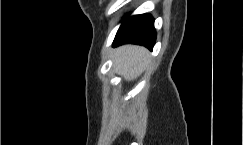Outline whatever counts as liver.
<instances>
[{"instance_id":"6515ba94","label":"liver","mask_w":243,"mask_h":145,"mask_svg":"<svg viewBox=\"0 0 243 145\" xmlns=\"http://www.w3.org/2000/svg\"><path fill=\"white\" fill-rule=\"evenodd\" d=\"M148 52L145 48L135 45L119 47L115 52V66L119 75L125 80L136 79L144 70Z\"/></svg>"}]
</instances>
